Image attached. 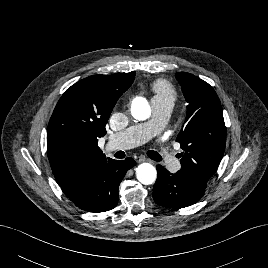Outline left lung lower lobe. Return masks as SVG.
<instances>
[{
  "instance_id": "left-lung-lower-lobe-1",
  "label": "left lung lower lobe",
  "mask_w": 268,
  "mask_h": 268,
  "mask_svg": "<svg viewBox=\"0 0 268 268\" xmlns=\"http://www.w3.org/2000/svg\"><path fill=\"white\" fill-rule=\"evenodd\" d=\"M153 188L156 204L167 208H184L196 203L204 194L205 187L196 184L181 172L171 174L161 165Z\"/></svg>"
}]
</instances>
